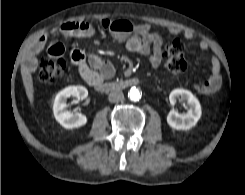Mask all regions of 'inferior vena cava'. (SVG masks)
Instances as JSON below:
<instances>
[{
  "label": "inferior vena cava",
  "mask_w": 245,
  "mask_h": 195,
  "mask_svg": "<svg viewBox=\"0 0 245 195\" xmlns=\"http://www.w3.org/2000/svg\"><path fill=\"white\" fill-rule=\"evenodd\" d=\"M108 100L110 102H119L124 100V94L120 90H113L108 95Z\"/></svg>",
  "instance_id": "inferior-vena-cava-1"
}]
</instances>
